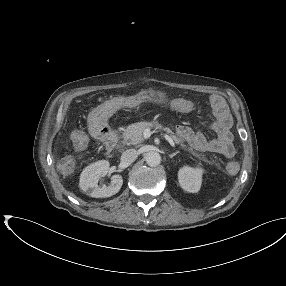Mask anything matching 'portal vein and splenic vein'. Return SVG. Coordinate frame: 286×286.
Here are the masks:
<instances>
[{"label": "portal vein and splenic vein", "mask_w": 286, "mask_h": 286, "mask_svg": "<svg viewBox=\"0 0 286 286\" xmlns=\"http://www.w3.org/2000/svg\"><path fill=\"white\" fill-rule=\"evenodd\" d=\"M143 134H144L145 138H149L151 136L150 129H146ZM163 137L169 142V144L171 146H173V147L175 146V143H174L173 139L169 135L164 134Z\"/></svg>", "instance_id": "obj_1"}]
</instances>
